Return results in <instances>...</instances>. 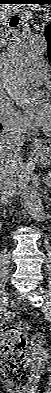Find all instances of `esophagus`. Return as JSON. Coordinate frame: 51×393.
Wrapping results in <instances>:
<instances>
[{"label":"esophagus","mask_w":51,"mask_h":393,"mask_svg":"<svg viewBox=\"0 0 51 393\" xmlns=\"http://www.w3.org/2000/svg\"><path fill=\"white\" fill-rule=\"evenodd\" d=\"M41 148V141H35L32 145V151L33 153H35L36 151H38Z\"/></svg>","instance_id":"1"}]
</instances>
